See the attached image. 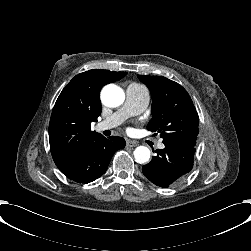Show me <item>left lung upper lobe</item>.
<instances>
[{
  "label": "left lung upper lobe",
  "instance_id": "obj_1",
  "mask_svg": "<svg viewBox=\"0 0 251 251\" xmlns=\"http://www.w3.org/2000/svg\"><path fill=\"white\" fill-rule=\"evenodd\" d=\"M138 78L149 88L153 101L147 129L160 133L165 146L195 147L199 117L187 91L162 76L138 75Z\"/></svg>",
  "mask_w": 251,
  "mask_h": 251
}]
</instances>
